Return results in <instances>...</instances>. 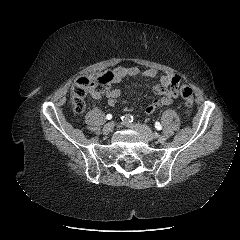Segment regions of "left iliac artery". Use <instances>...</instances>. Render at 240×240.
<instances>
[{
    "instance_id": "obj_1",
    "label": "left iliac artery",
    "mask_w": 240,
    "mask_h": 240,
    "mask_svg": "<svg viewBox=\"0 0 240 240\" xmlns=\"http://www.w3.org/2000/svg\"><path fill=\"white\" fill-rule=\"evenodd\" d=\"M166 136H167V135H166V133H165V132H162V133L158 134V136H157V137H158V139H160V140H161V139H164V138H166Z\"/></svg>"
}]
</instances>
